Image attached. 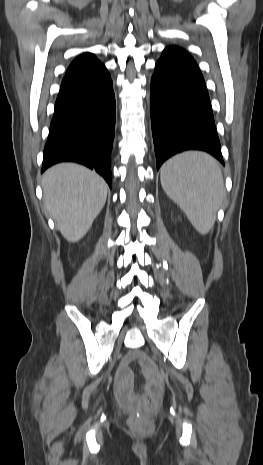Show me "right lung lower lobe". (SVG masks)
Here are the masks:
<instances>
[{
  "instance_id": "obj_1",
  "label": "right lung lower lobe",
  "mask_w": 263,
  "mask_h": 465,
  "mask_svg": "<svg viewBox=\"0 0 263 465\" xmlns=\"http://www.w3.org/2000/svg\"><path fill=\"white\" fill-rule=\"evenodd\" d=\"M115 110L113 83L104 65L66 75L55 103L41 172L59 162H77L95 169L111 187Z\"/></svg>"
}]
</instances>
